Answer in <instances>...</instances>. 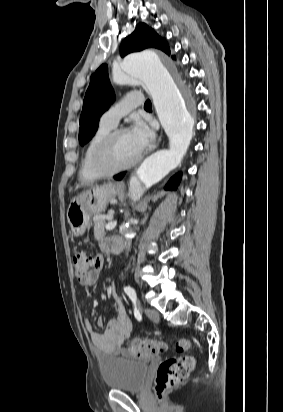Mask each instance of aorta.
Returning <instances> with one entry per match:
<instances>
[{"label":"aorta","instance_id":"762f6f07","mask_svg":"<svg viewBox=\"0 0 283 412\" xmlns=\"http://www.w3.org/2000/svg\"><path fill=\"white\" fill-rule=\"evenodd\" d=\"M118 85L141 83L152 96L160 123L169 138V148L149 156L138 168L135 180L149 188L178 167L193 136V118L187 109L186 93L171 72L170 63L160 53L147 50L125 57L120 70L113 72ZM128 232L126 238H134Z\"/></svg>","mask_w":283,"mask_h":412}]
</instances>
